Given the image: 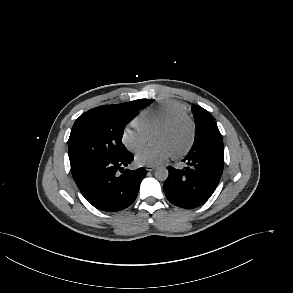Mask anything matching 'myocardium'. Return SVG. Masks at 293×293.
<instances>
[{"label":"myocardium","instance_id":"obj_1","mask_svg":"<svg viewBox=\"0 0 293 293\" xmlns=\"http://www.w3.org/2000/svg\"><path fill=\"white\" fill-rule=\"evenodd\" d=\"M183 122L188 123V125L190 127V138H189L187 145L181 151L173 154L174 158H181V157L185 156L191 150V148L194 144V141H195V137H196V125H195L194 120L187 114H181V115H177V116L171 118L170 120H168L167 122L161 124L160 126H158L156 128V131L170 130Z\"/></svg>","mask_w":293,"mask_h":293}]
</instances>
